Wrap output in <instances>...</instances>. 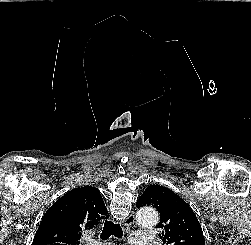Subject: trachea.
<instances>
[{
    "label": "trachea",
    "instance_id": "obj_1",
    "mask_svg": "<svg viewBox=\"0 0 251 245\" xmlns=\"http://www.w3.org/2000/svg\"><path fill=\"white\" fill-rule=\"evenodd\" d=\"M112 235L121 238L123 236L122 228L120 224L106 220L100 237L102 240H107Z\"/></svg>",
    "mask_w": 251,
    "mask_h": 245
}]
</instances>
